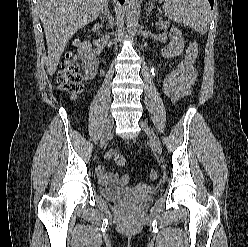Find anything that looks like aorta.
<instances>
[{
	"instance_id": "762f6f07",
	"label": "aorta",
	"mask_w": 248,
	"mask_h": 247,
	"mask_svg": "<svg viewBox=\"0 0 248 247\" xmlns=\"http://www.w3.org/2000/svg\"><path fill=\"white\" fill-rule=\"evenodd\" d=\"M124 9L127 21V29L131 35H134L138 27L140 13L139 0H125Z\"/></svg>"
}]
</instances>
